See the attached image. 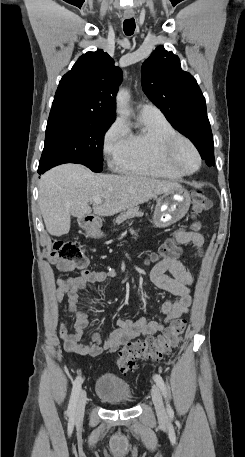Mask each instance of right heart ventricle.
Here are the masks:
<instances>
[{
	"mask_svg": "<svg viewBox=\"0 0 245 457\" xmlns=\"http://www.w3.org/2000/svg\"><path fill=\"white\" fill-rule=\"evenodd\" d=\"M177 134V130L162 114L141 116L137 129L127 130L126 144L113 154V160L117 165L126 169L178 179L180 175L156 166L148 155V141L151 137L157 136L164 143L168 138Z\"/></svg>",
	"mask_w": 245,
	"mask_h": 457,
	"instance_id": "right-heart-ventricle-1",
	"label": "right heart ventricle"
}]
</instances>
